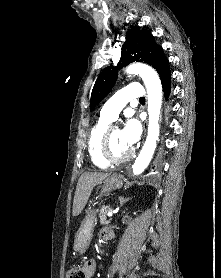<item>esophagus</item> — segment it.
<instances>
[{"instance_id": "obj_1", "label": "esophagus", "mask_w": 221, "mask_h": 278, "mask_svg": "<svg viewBox=\"0 0 221 278\" xmlns=\"http://www.w3.org/2000/svg\"><path fill=\"white\" fill-rule=\"evenodd\" d=\"M147 129V121L144 123V131L146 132Z\"/></svg>"}]
</instances>
